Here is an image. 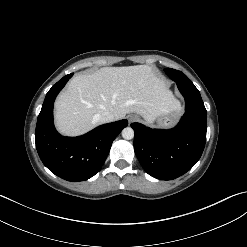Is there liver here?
Here are the masks:
<instances>
[{"label": "liver", "mask_w": 247, "mask_h": 247, "mask_svg": "<svg viewBox=\"0 0 247 247\" xmlns=\"http://www.w3.org/2000/svg\"><path fill=\"white\" fill-rule=\"evenodd\" d=\"M179 104L148 65L104 67L70 80L55 102V122L62 134L77 136L99 124L97 116L103 112L112 113L115 120L137 113L154 122Z\"/></svg>", "instance_id": "liver-1"}]
</instances>
